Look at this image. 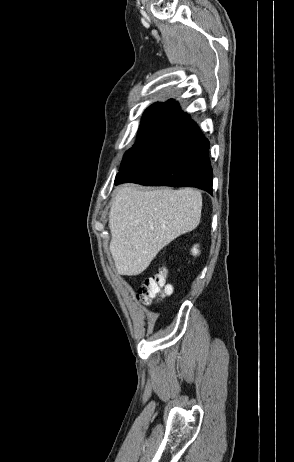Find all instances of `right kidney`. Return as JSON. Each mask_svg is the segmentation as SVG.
<instances>
[{"instance_id":"ca27d5eb","label":"right kidney","mask_w":294,"mask_h":462,"mask_svg":"<svg viewBox=\"0 0 294 462\" xmlns=\"http://www.w3.org/2000/svg\"><path fill=\"white\" fill-rule=\"evenodd\" d=\"M197 247H198V245H195V246L192 248V250H191V251H192V254H193L194 256H196V255L199 254V250H198Z\"/></svg>"}]
</instances>
